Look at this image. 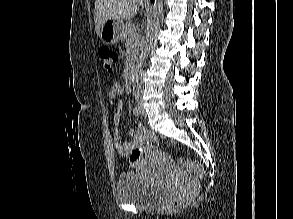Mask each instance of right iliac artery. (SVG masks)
I'll list each match as a JSON object with an SVG mask.
<instances>
[{"instance_id": "82829eb1", "label": "right iliac artery", "mask_w": 293, "mask_h": 219, "mask_svg": "<svg viewBox=\"0 0 293 219\" xmlns=\"http://www.w3.org/2000/svg\"><path fill=\"white\" fill-rule=\"evenodd\" d=\"M136 98H137V96H136ZM133 114H134L135 116H139V115L141 114V110H140V107H139L138 104H137V106H135V108H134V110H133Z\"/></svg>"}]
</instances>
